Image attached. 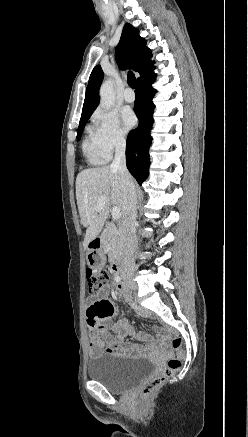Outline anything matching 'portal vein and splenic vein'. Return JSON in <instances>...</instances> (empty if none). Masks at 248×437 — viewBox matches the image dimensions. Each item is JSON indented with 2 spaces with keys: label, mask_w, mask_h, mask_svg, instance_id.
I'll return each instance as SVG.
<instances>
[{
  "label": "portal vein and splenic vein",
  "mask_w": 248,
  "mask_h": 437,
  "mask_svg": "<svg viewBox=\"0 0 248 437\" xmlns=\"http://www.w3.org/2000/svg\"><path fill=\"white\" fill-rule=\"evenodd\" d=\"M106 201V197L105 196H101L98 199V202L96 204V206L94 207L96 212H100L103 209L104 203ZM112 217L114 220H118L121 217V212L120 209L118 207H113L112 208Z\"/></svg>",
  "instance_id": "portal-vein-and-splenic-vein-1"
}]
</instances>
